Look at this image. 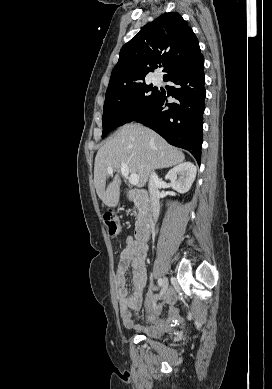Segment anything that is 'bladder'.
<instances>
[{"label": "bladder", "instance_id": "bladder-1", "mask_svg": "<svg viewBox=\"0 0 272 389\" xmlns=\"http://www.w3.org/2000/svg\"><path fill=\"white\" fill-rule=\"evenodd\" d=\"M149 335L151 337H154V338H160V337H162L164 335V331H162V330H160L158 328H155L153 330V332L149 333Z\"/></svg>", "mask_w": 272, "mask_h": 389}]
</instances>
